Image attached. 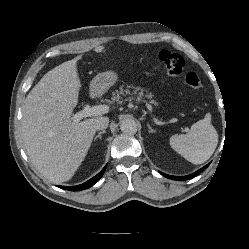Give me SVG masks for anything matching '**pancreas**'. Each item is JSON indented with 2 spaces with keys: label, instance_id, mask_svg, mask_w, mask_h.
<instances>
[{
  "label": "pancreas",
  "instance_id": "pancreas-1",
  "mask_svg": "<svg viewBox=\"0 0 249 249\" xmlns=\"http://www.w3.org/2000/svg\"><path fill=\"white\" fill-rule=\"evenodd\" d=\"M131 86H127V89H123V88H120V90H115L112 92V100L113 101H116L117 103H121L123 102L122 100V97H125L127 95H131L129 97H127L124 101H128V102H132L135 100V97L134 96H137L136 100L137 101H143V102H146V100H144L145 98L149 99L150 100V103L152 104H156V102L154 100H152V97L153 95L151 93H148L146 91V94H144V90L141 89L140 87H136L135 90L133 91V93H131L130 89Z\"/></svg>",
  "mask_w": 249,
  "mask_h": 249
}]
</instances>
